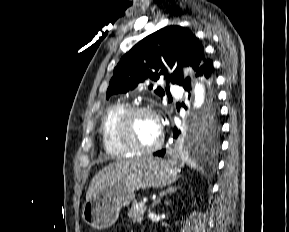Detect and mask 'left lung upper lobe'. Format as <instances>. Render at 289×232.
Listing matches in <instances>:
<instances>
[{"mask_svg":"<svg viewBox=\"0 0 289 232\" xmlns=\"http://www.w3.org/2000/svg\"><path fill=\"white\" fill-rule=\"evenodd\" d=\"M203 59L204 48L192 32L180 26L164 27L138 42L120 59L106 97L127 93L146 79L156 81L160 76L166 80L167 85L171 81L183 86L190 79L183 77L182 67L191 66L197 71ZM164 63L170 68L176 64L177 68L170 74ZM151 88L152 85L149 86ZM155 93L165 95L161 87ZM206 118L184 137L185 147L197 148L206 153L218 148L220 126L217 115L212 113Z\"/></svg>","mask_w":289,"mask_h":232,"instance_id":"left-lung-upper-lobe-1","label":"left lung upper lobe"}]
</instances>
